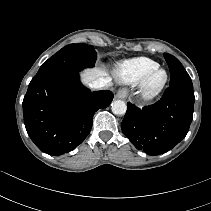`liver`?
Listing matches in <instances>:
<instances>
[{
	"label": "liver",
	"instance_id": "1",
	"mask_svg": "<svg viewBox=\"0 0 211 211\" xmlns=\"http://www.w3.org/2000/svg\"><path fill=\"white\" fill-rule=\"evenodd\" d=\"M82 81L85 84H89L92 81L96 80L97 78L103 77L108 80V85H111V78L109 77L108 73L99 68H94V69H86L81 73Z\"/></svg>",
	"mask_w": 211,
	"mask_h": 211
}]
</instances>
